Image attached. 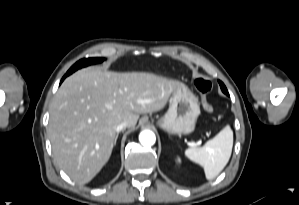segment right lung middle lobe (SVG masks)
Segmentation results:
<instances>
[{
  "mask_svg": "<svg viewBox=\"0 0 299 205\" xmlns=\"http://www.w3.org/2000/svg\"><path fill=\"white\" fill-rule=\"evenodd\" d=\"M104 61V58H87V59H82L79 60L77 63H75L66 73V76L70 75L77 69H80L82 67H86L90 64H95V63H101Z\"/></svg>",
  "mask_w": 299,
  "mask_h": 205,
  "instance_id": "dd1d6c3e",
  "label": "right lung middle lobe"
}]
</instances>
